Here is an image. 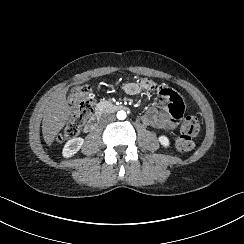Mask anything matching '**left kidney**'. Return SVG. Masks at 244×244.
Wrapping results in <instances>:
<instances>
[{
  "label": "left kidney",
  "instance_id": "5707ae66",
  "mask_svg": "<svg viewBox=\"0 0 244 244\" xmlns=\"http://www.w3.org/2000/svg\"><path fill=\"white\" fill-rule=\"evenodd\" d=\"M158 142L164 149H169L171 147V141L168 136L160 135L158 136Z\"/></svg>",
  "mask_w": 244,
  "mask_h": 244
}]
</instances>
